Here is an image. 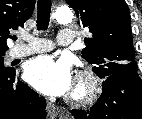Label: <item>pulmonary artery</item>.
<instances>
[{
  "mask_svg": "<svg viewBox=\"0 0 142 119\" xmlns=\"http://www.w3.org/2000/svg\"><path fill=\"white\" fill-rule=\"evenodd\" d=\"M22 39L27 41V44L14 46L9 51V57L11 59L24 57L34 53L49 51L56 47V45L70 46L73 42L74 35L70 30L64 28L59 32L56 44H54L50 40L38 39L30 35H23Z\"/></svg>",
  "mask_w": 142,
  "mask_h": 119,
  "instance_id": "pulmonary-artery-1",
  "label": "pulmonary artery"
}]
</instances>
